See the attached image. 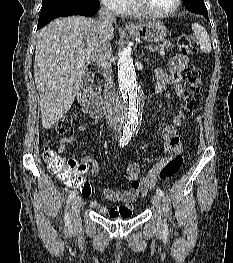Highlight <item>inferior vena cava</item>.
I'll use <instances>...</instances> for the list:
<instances>
[{
	"mask_svg": "<svg viewBox=\"0 0 233 263\" xmlns=\"http://www.w3.org/2000/svg\"><path fill=\"white\" fill-rule=\"evenodd\" d=\"M116 21L114 14L105 6L99 10V50L95 55V61L99 73L103 76V101L106 109V119L111 127H118L121 123L120 110L115 93V84L112 77L111 65V45L109 43V31L112 23Z\"/></svg>",
	"mask_w": 233,
	"mask_h": 263,
	"instance_id": "602c4592",
	"label": "inferior vena cava"
}]
</instances>
